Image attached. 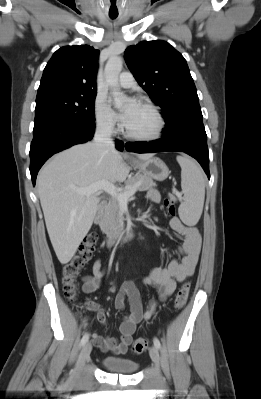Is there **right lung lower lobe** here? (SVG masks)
<instances>
[{"label":"right lung lower lobe","instance_id":"1","mask_svg":"<svg viewBox=\"0 0 261 399\" xmlns=\"http://www.w3.org/2000/svg\"><path fill=\"white\" fill-rule=\"evenodd\" d=\"M95 128H87L71 119L52 117L34 122L30 147V173L33 185L42 165L55 153L84 143L93 138ZM123 142L116 141V148L123 150Z\"/></svg>","mask_w":261,"mask_h":399}]
</instances>
